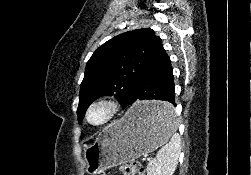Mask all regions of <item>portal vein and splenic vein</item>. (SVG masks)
<instances>
[{
    "label": "portal vein and splenic vein",
    "instance_id": "18ae733b",
    "mask_svg": "<svg viewBox=\"0 0 251 175\" xmlns=\"http://www.w3.org/2000/svg\"><path fill=\"white\" fill-rule=\"evenodd\" d=\"M144 161H145V162H151V161H152V158H151V157H145V158H144Z\"/></svg>",
    "mask_w": 251,
    "mask_h": 175
}]
</instances>
